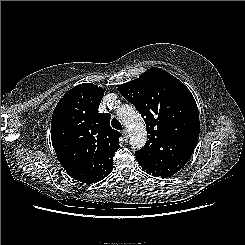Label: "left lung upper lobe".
Listing matches in <instances>:
<instances>
[{
    "label": "left lung upper lobe",
    "mask_w": 245,
    "mask_h": 245,
    "mask_svg": "<svg viewBox=\"0 0 245 245\" xmlns=\"http://www.w3.org/2000/svg\"><path fill=\"white\" fill-rule=\"evenodd\" d=\"M118 91L141 113L148 141L135 152L139 165L154 177L177 173L190 159L199 138V113L192 93L161 68H150Z\"/></svg>",
    "instance_id": "5c2ea615"
}]
</instances>
